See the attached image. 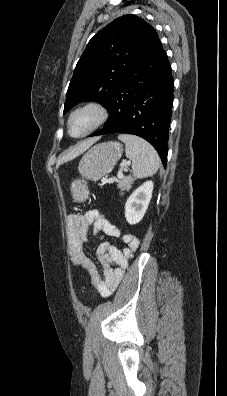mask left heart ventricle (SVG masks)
Returning <instances> with one entry per match:
<instances>
[{
  "label": "left heart ventricle",
  "mask_w": 227,
  "mask_h": 396,
  "mask_svg": "<svg viewBox=\"0 0 227 396\" xmlns=\"http://www.w3.org/2000/svg\"><path fill=\"white\" fill-rule=\"evenodd\" d=\"M93 116L89 113L76 115L71 121V133L78 136L84 133L91 125Z\"/></svg>",
  "instance_id": "obj_1"
}]
</instances>
